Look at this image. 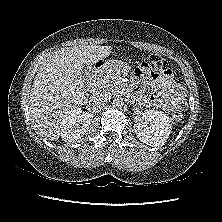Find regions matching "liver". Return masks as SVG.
I'll return each instance as SVG.
<instances>
[{"label": "liver", "mask_w": 222, "mask_h": 222, "mask_svg": "<svg viewBox=\"0 0 222 222\" xmlns=\"http://www.w3.org/2000/svg\"><path fill=\"white\" fill-rule=\"evenodd\" d=\"M111 46L82 45L47 56L35 76L29 113L39 135L58 140L63 121L87 103L85 67L110 55Z\"/></svg>", "instance_id": "obj_1"}]
</instances>
